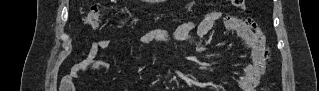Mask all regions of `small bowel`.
<instances>
[{"instance_id":"1","label":"small bowel","mask_w":319,"mask_h":91,"mask_svg":"<svg viewBox=\"0 0 319 91\" xmlns=\"http://www.w3.org/2000/svg\"><path fill=\"white\" fill-rule=\"evenodd\" d=\"M219 20H223L225 28L235 32L249 50V60L244 65V74L238 79L239 89L241 91H255L266 71L267 49L265 36L252 21L232 15H225L221 12H210L198 21L189 20L180 24L170 40L178 43L183 42L192 31H196L197 36L200 39H204ZM157 36L158 34L156 33L146 34L139 38V42L142 46L147 47L150 41ZM110 44L111 39L109 38L95 41L87 58L72 68L69 75L70 78H76L81 71L93 66L99 68L108 67L109 63L107 61L98 59V52L101 49L108 48ZM206 49L204 45H199L194 49V52L202 53Z\"/></svg>"}]
</instances>
